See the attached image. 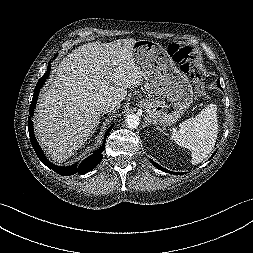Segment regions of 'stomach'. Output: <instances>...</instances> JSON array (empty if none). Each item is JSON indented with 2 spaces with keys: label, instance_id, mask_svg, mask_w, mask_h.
<instances>
[{
  "label": "stomach",
  "instance_id": "stomach-1",
  "mask_svg": "<svg viewBox=\"0 0 253 253\" xmlns=\"http://www.w3.org/2000/svg\"><path fill=\"white\" fill-rule=\"evenodd\" d=\"M132 55L143 72L148 96L140 105L154 124H174L193 101L189 79L176 68L171 56L159 43L137 40L132 46Z\"/></svg>",
  "mask_w": 253,
  "mask_h": 253
}]
</instances>
